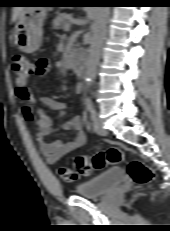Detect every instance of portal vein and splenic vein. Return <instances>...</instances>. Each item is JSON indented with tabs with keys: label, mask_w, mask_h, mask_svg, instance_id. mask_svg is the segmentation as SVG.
<instances>
[{
	"label": "portal vein and splenic vein",
	"mask_w": 170,
	"mask_h": 231,
	"mask_svg": "<svg viewBox=\"0 0 170 231\" xmlns=\"http://www.w3.org/2000/svg\"><path fill=\"white\" fill-rule=\"evenodd\" d=\"M63 29H64V31H69L70 30V24L69 23L65 24Z\"/></svg>",
	"instance_id": "obj_1"
}]
</instances>
